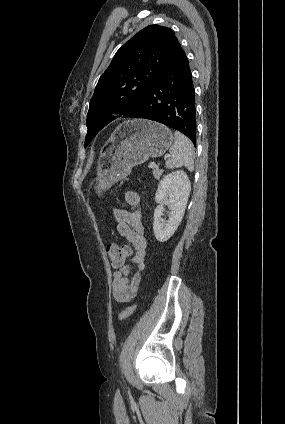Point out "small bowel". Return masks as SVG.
Masks as SVG:
<instances>
[{"instance_id": "1", "label": "small bowel", "mask_w": 285, "mask_h": 424, "mask_svg": "<svg viewBox=\"0 0 285 424\" xmlns=\"http://www.w3.org/2000/svg\"><path fill=\"white\" fill-rule=\"evenodd\" d=\"M127 206L132 207L133 211H128ZM114 217L117 232L134 249L131 264L125 265L124 261L120 266H116L117 270L114 271L112 279L114 299L120 303H127L138 293L147 255V241L141 213V195L136 191H127L122 205L114 210ZM130 254L129 248L128 256Z\"/></svg>"}]
</instances>
